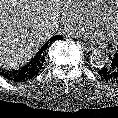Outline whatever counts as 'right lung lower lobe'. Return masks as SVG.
Returning <instances> with one entry per match:
<instances>
[{"mask_svg":"<svg viewBox=\"0 0 118 118\" xmlns=\"http://www.w3.org/2000/svg\"><path fill=\"white\" fill-rule=\"evenodd\" d=\"M52 42L58 39H62L61 36L52 37ZM39 52V51H38ZM46 50L42 54L35 55L34 58L31 59L29 63L18 70L6 71L1 70L0 74L11 81L14 82H22L28 79L33 78L35 75L39 73V71L43 68V64L45 61Z\"/></svg>","mask_w":118,"mask_h":118,"instance_id":"98d812e1","label":"right lung lower lobe"}]
</instances>
